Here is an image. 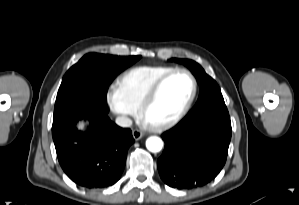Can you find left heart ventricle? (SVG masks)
<instances>
[{"label": "left heart ventricle", "instance_id": "1", "mask_svg": "<svg viewBox=\"0 0 299 205\" xmlns=\"http://www.w3.org/2000/svg\"><path fill=\"white\" fill-rule=\"evenodd\" d=\"M192 91V81L184 73L172 76L163 85L146 114L149 123H157L174 116L186 103Z\"/></svg>", "mask_w": 299, "mask_h": 205}]
</instances>
